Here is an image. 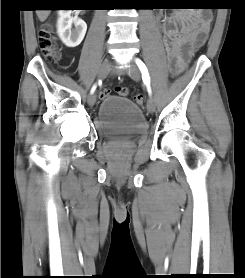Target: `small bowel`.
I'll list each match as a JSON object with an SVG mask.
<instances>
[{"instance_id": "c3829d8e", "label": "small bowel", "mask_w": 245, "mask_h": 278, "mask_svg": "<svg viewBox=\"0 0 245 278\" xmlns=\"http://www.w3.org/2000/svg\"><path fill=\"white\" fill-rule=\"evenodd\" d=\"M203 23L204 14L198 11L176 12L162 22L161 32L170 68L184 69L193 52L205 43L209 27L204 29Z\"/></svg>"}]
</instances>
